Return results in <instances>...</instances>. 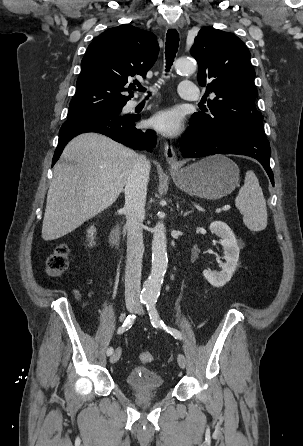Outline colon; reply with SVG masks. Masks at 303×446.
I'll return each mask as SVG.
<instances>
[{
	"instance_id": "5ec220e1",
	"label": "colon",
	"mask_w": 303,
	"mask_h": 446,
	"mask_svg": "<svg viewBox=\"0 0 303 446\" xmlns=\"http://www.w3.org/2000/svg\"><path fill=\"white\" fill-rule=\"evenodd\" d=\"M69 266V248L58 246L46 259V269L51 276L62 275ZM155 356L152 352L144 351L140 354V361L144 364L152 363Z\"/></svg>"
}]
</instances>
